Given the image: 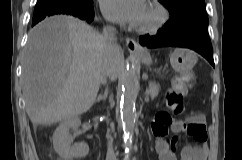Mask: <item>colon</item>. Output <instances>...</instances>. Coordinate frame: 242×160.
<instances>
[{"instance_id":"5ec220e1","label":"colon","mask_w":242,"mask_h":160,"mask_svg":"<svg viewBox=\"0 0 242 160\" xmlns=\"http://www.w3.org/2000/svg\"><path fill=\"white\" fill-rule=\"evenodd\" d=\"M191 78L192 76H183L175 79L171 88L167 92L166 106L175 116L183 112V96L189 90V81ZM171 122V114L168 111H160L155 117L153 132L156 134L166 133ZM188 133L193 134V138L196 141L205 140L207 137L206 130L202 125H197L194 130L190 129Z\"/></svg>"}]
</instances>
